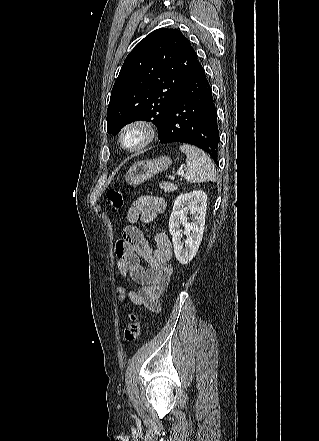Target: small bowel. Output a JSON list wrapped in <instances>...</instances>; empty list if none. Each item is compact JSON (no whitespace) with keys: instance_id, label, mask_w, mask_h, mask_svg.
Wrapping results in <instances>:
<instances>
[{"instance_id":"1","label":"small bowel","mask_w":319,"mask_h":441,"mask_svg":"<svg viewBox=\"0 0 319 441\" xmlns=\"http://www.w3.org/2000/svg\"><path fill=\"white\" fill-rule=\"evenodd\" d=\"M165 207L166 202L161 197H139L128 210L127 224L115 247L120 274L134 284V288L130 290L118 288V296L122 300L129 299L135 306L151 312H159L160 296L172 276V268L169 265L172 246L169 237L163 231L155 234V246H152L137 223H155ZM142 260L146 266L142 264Z\"/></svg>"}]
</instances>
